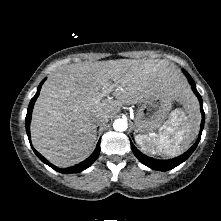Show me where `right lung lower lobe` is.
Wrapping results in <instances>:
<instances>
[{
  "label": "right lung lower lobe",
  "mask_w": 221,
  "mask_h": 221,
  "mask_svg": "<svg viewBox=\"0 0 221 221\" xmlns=\"http://www.w3.org/2000/svg\"><path fill=\"white\" fill-rule=\"evenodd\" d=\"M44 81H45V79L38 86L37 92H36L35 96L31 99L30 104L28 106L25 124H26V132H27L29 141H30V121H31V116H32V110H33L34 103H35L37 97L39 96V93H40V90H41V87H42V84L44 83ZM30 144H31V141H30ZM31 147H32L33 151L35 152V154L38 156V158L42 162H44L45 164L50 166L52 169H54L55 171H58L60 173H77V172L83 171L93 164V162L98 158L99 153H100V141H99L93 154L89 158H87L85 161H83L73 167H69L66 169H60V168L54 166L53 164H51L50 162H48L39 152H37L33 148L32 145H31Z\"/></svg>",
  "instance_id": "obj_1"
}]
</instances>
